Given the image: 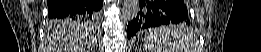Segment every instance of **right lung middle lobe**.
I'll use <instances>...</instances> for the list:
<instances>
[{"label":"right lung middle lobe","instance_id":"right-lung-middle-lobe-1","mask_svg":"<svg viewBox=\"0 0 261 52\" xmlns=\"http://www.w3.org/2000/svg\"><path fill=\"white\" fill-rule=\"evenodd\" d=\"M51 22L53 24H61V25H71L77 23H82L85 22L87 23L90 27L96 25L97 20L96 19H90L85 16H71V17H63V18H53Z\"/></svg>","mask_w":261,"mask_h":52}]
</instances>
